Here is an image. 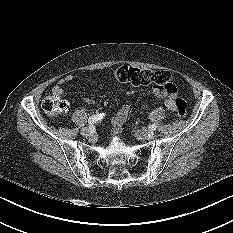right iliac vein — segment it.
<instances>
[{"instance_id": "1", "label": "right iliac vein", "mask_w": 233, "mask_h": 233, "mask_svg": "<svg viewBox=\"0 0 233 233\" xmlns=\"http://www.w3.org/2000/svg\"><path fill=\"white\" fill-rule=\"evenodd\" d=\"M81 134L85 137H88L91 135V130L87 127H84L81 129Z\"/></svg>"}]
</instances>
